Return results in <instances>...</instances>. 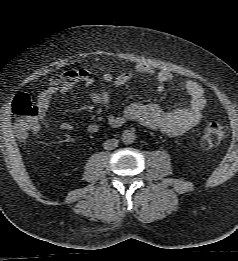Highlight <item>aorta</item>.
Instances as JSON below:
<instances>
[{"mask_svg":"<svg viewBox=\"0 0 238 261\" xmlns=\"http://www.w3.org/2000/svg\"><path fill=\"white\" fill-rule=\"evenodd\" d=\"M121 140L124 144H131L135 140V134L130 130H125L122 133Z\"/></svg>","mask_w":238,"mask_h":261,"instance_id":"762f6f07","label":"aorta"}]
</instances>
